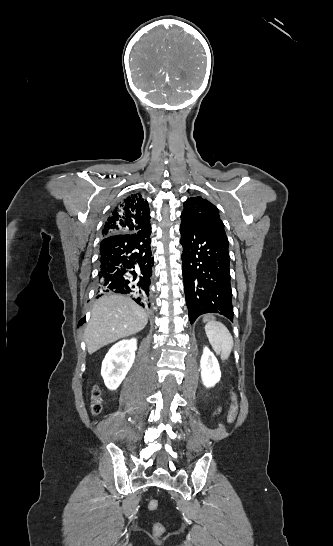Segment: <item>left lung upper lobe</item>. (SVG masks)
I'll return each mask as SVG.
<instances>
[{
	"mask_svg": "<svg viewBox=\"0 0 333 546\" xmlns=\"http://www.w3.org/2000/svg\"><path fill=\"white\" fill-rule=\"evenodd\" d=\"M181 217L198 225L216 226L224 229L216 206L200 196L191 197L185 201Z\"/></svg>",
	"mask_w": 333,
	"mask_h": 546,
	"instance_id": "1",
	"label": "left lung upper lobe"
}]
</instances>
